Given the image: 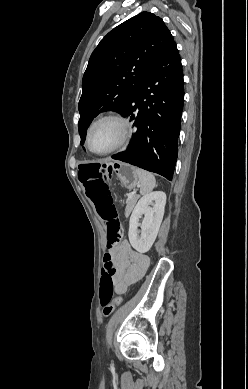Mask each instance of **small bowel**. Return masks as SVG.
Masks as SVG:
<instances>
[{
  "label": "small bowel",
  "mask_w": 248,
  "mask_h": 389,
  "mask_svg": "<svg viewBox=\"0 0 248 389\" xmlns=\"http://www.w3.org/2000/svg\"><path fill=\"white\" fill-rule=\"evenodd\" d=\"M109 254L117 271L114 279V291L121 295L126 292L130 285L145 275L150 265V259L146 254L134 250L127 240L112 247Z\"/></svg>",
  "instance_id": "small-bowel-1"
}]
</instances>
